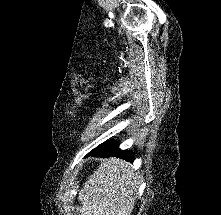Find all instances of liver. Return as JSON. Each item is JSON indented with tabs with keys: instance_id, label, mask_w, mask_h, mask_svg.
Masks as SVG:
<instances>
[{
	"instance_id": "obj_1",
	"label": "liver",
	"mask_w": 221,
	"mask_h": 215,
	"mask_svg": "<svg viewBox=\"0 0 221 215\" xmlns=\"http://www.w3.org/2000/svg\"><path fill=\"white\" fill-rule=\"evenodd\" d=\"M138 185V176L128 162L103 159L79 192V215H130Z\"/></svg>"
}]
</instances>
